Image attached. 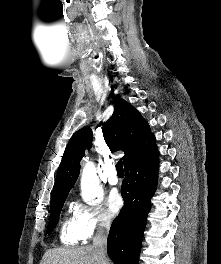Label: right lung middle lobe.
<instances>
[{
    "label": "right lung middle lobe",
    "instance_id": "dd1d6c3e",
    "mask_svg": "<svg viewBox=\"0 0 221 264\" xmlns=\"http://www.w3.org/2000/svg\"><path fill=\"white\" fill-rule=\"evenodd\" d=\"M67 195L68 194H63L51 200L50 219H49V224L47 228V234H50L53 231L54 227L56 226L58 219H59L60 211L64 205Z\"/></svg>",
    "mask_w": 221,
    "mask_h": 264
}]
</instances>
